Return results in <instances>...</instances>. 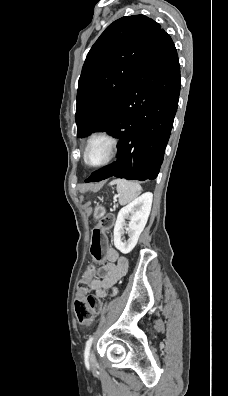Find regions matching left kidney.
<instances>
[{"instance_id":"5707ae66","label":"left kidney","mask_w":228,"mask_h":396,"mask_svg":"<svg viewBox=\"0 0 228 396\" xmlns=\"http://www.w3.org/2000/svg\"><path fill=\"white\" fill-rule=\"evenodd\" d=\"M153 195L147 192L123 207L117 216L114 227V245L123 254H128L136 246L139 236L143 231L152 206ZM125 219H129L126 224ZM128 233V240L122 235Z\"/></svg>"}]
</instances>
